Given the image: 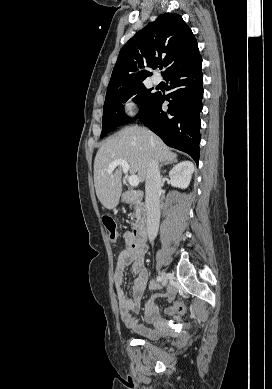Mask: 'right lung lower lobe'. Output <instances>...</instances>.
I'll return each instance as SVG.
<instances>
[{
  "mask_svg": "<svg viewBox=\"0 0 272 389\" xmlns=\"http://www.w3.org/2000/svg\"><path fill=\"white\" fill-rule=\"evenodd\" d=\"M202 58L171 71L165 79L170 81L171 92L158 94L156 100L138 117L168 146L188 153L198 164L200 144V112L202 110ZM172 99V100H170ZM170 102L168 110L162 103Z\"/></svg>",
  "mask_w": 272,
  "mask_h": 389,
  "instance_id": "right-lung-lower-lobe-1",
  "label": "right lung lower lobe"
}]
</instances>
